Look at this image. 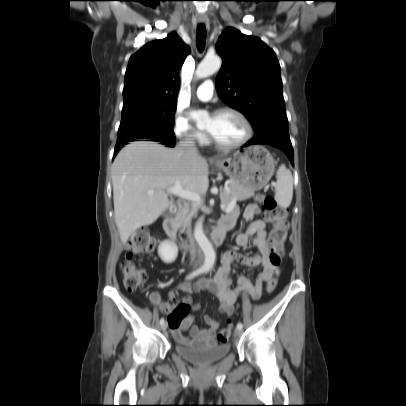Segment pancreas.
<instances>
[{
  "label": "pancreas",
  "instance_id": "obj_1",
  "mask_svg": "<svg viewBox=\"0 0 406 406\" xmlns=\"http://www.w3.org/2000/svg\"><path fill=\"white\" fill-rule=\"evenodd\" d=\"M254 196V191L248 190L239 184L234 182L229 183L227 188L221 189L220 192V199L221 204L225 205L226 207L232 202V200L236 201H244ZM199 205L193 204L190 208L186 207L180 212V218L184 225H187L189 219L195 216L198 212ZM188 216V218L186 217Z\"/></svg>",
  "mask_w": 406,
  "mask_h": 406
}]
</instances>
